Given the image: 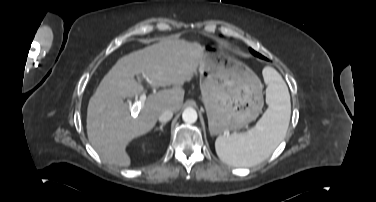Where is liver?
<instances>
[{
  "mask_svg": "<svg viewBox=\"0 0 376 202\" xmlns=\"http://www.w3.org/2000/svg\"><path fill=\"white\" fill-rule=\"evenodd\" d=\"M204 55V47L180 39H162L120 58L100 82L87 108V135L95 151L109 164L128 167L126 147L150 131L167 109L180 110L184 90ZM146 75L154 87L175 85L150 94L137 111L123 101L144 91L135 76Z\"/></svg>",
  "mask_w": 376,
  "mask_h": 202,
  "instance_id": "liver-1",
  "label": "liver"
}]
</instances>
